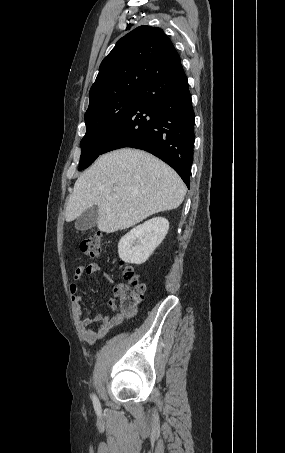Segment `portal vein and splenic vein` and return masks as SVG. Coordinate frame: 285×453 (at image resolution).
Here are the masks:
<instances>
[{
    "label": "portal vein and splenic vein",
    "instance_id": "1",
    "mask_svg": "<svg viewBox=\"0 0 285 453\" xmlns=\"http://www.w3.org/2000/svg\"><path fill=\"white\" fill-rule=\"evenodd\" d=\"M113 190H114V191H118V188H114Z\"/></svg>",
    "mask_w": 285,
    "mask_h": 453
}]
</instances>
